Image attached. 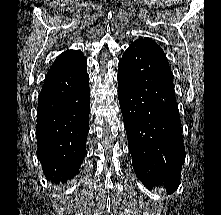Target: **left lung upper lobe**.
<instances>
[{"instance_id": "obj_1", "label": "left lung upper lobe", "mask_w": 221, "mask_h": 215, "mask_svg": "<svg viewBox=\"0 0 221 215\" xmlns=\"http://www.w3.org/2000/svg\"><path fill=\"white\" fill-rule=\"evenodd\" d=\"M134 43L139 44L141 46L147 47L151 49L153 52H155L159 57H161L164 61L167 62L166 56L163 52V50L157 45L154 41L148 39V38H140L136 40ZM168 63V62H167Z\"/></svg>"}]
</instances>
